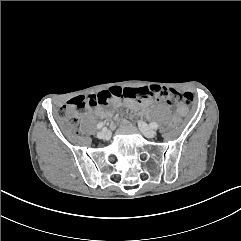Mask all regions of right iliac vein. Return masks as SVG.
Instances as JSON below:
<instances>
[{
    "mask_svg": "<svg viewBox=\"0 0 241 241\" xmlns=\"http://www.w3.org/2000/svg\"><path fill=\"white\" fill-rule=\"evenodd\" d=\"M97 137L99 139H106L109 137V132L107 130L100 131L98 132Z\"/></svg>",
    "mask_w": 241,
    "mask_h": 241,
    "instance_id": "obj_1",
    "label": "right iliac vein"
}]
</instances>
